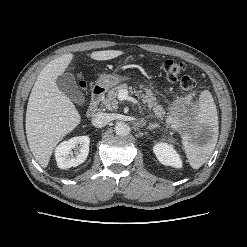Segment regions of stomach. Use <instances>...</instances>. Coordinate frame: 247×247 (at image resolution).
<instances>
[{"label":"stomach","mask_w":247,"mask_h":247,"mask_svg":"<svg viewBox=\"0 0 247 247\" xmlns=\"http://www.w3.org/2000/svg\"><path fill=\"white\" fill-rule=\"evenodd\" d=\"M121 80L122 78L117 75L103 74L97 80V84L105 89H109L117 85L119 82H121ZM194 120L195 117H180L175 113H172L169 116L168 122L173 128L178 129L184 135L187 133H192Z\"/></svg>","instance_id":"obj_1"}]
</instances>
